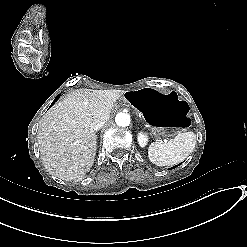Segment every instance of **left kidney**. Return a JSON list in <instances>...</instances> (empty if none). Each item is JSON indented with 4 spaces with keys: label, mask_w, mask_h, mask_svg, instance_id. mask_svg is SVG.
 <instances>
[{
    "label": "left kidney",
    "mask_w": 247,
    "mask_h": 247,
    "mask_svg": "<svg viewBox=\"0 0 247 247\" xmlns=\"http://www.w3.org/2000/svg\"><path fill=\"white\" fill-rule=\"evenodd\" d=\"M137 141L140 147H145L148 143V136L143 132H139L137 135Z\"/></svg>",
    "instance_id": "5707ae66"
}]
</instances>
